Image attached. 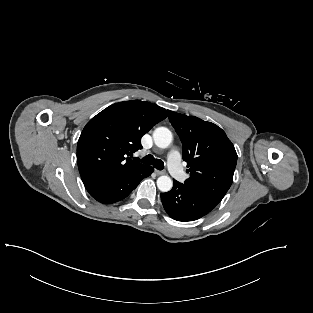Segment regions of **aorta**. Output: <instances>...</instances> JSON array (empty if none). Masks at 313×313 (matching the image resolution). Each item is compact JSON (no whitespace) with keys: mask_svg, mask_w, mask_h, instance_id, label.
<instances>
[{"mask_svg":"<svg viewBox=\"0 0 313 313\" xmlns=\"http://www.w3.org/2000/svg\"><path fill=\"white\" fill-rule=\"evenodd\" d=\"M155 145L159 148H167L173 139L171 131L166 127H158L153 132ZM173 181L168 176H160L157 179V187L162 192H168L172 189Z\"/></svg>","mask_w":313,"mask_h":313,"instance_id":"1","label":"aorta"}]
</instances>
